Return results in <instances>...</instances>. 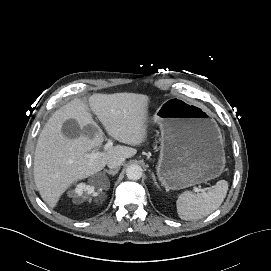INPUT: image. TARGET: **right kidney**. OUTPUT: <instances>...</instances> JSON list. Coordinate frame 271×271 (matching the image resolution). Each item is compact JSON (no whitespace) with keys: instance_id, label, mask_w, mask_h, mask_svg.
I'll return each instance as SVG.
<instances>
[{"instance_id":"ca27d5eb","label":"right kidney","mask_w":271,"mask_h":271,"mask_svg":"<svg viewBox=\"0 0 271 271\" xmlns=\"http://www.w3.org/2000/svg\"><path fill=\"white\" fill-rule=\"evenodd\" d=\"M102 189L103 188L99 185H86L85 183H79L73 193L75 196H98V194L102 192Z\"/></svg>"}]
</instances>
